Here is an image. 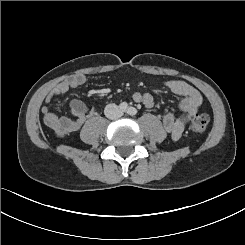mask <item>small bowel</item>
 <instances>
[{
    "mask_svg": "<svg viewBox=\"0 0 245 245\" xmlns=\"http://www.w3.org/2000/svg\"><path fill=\"white\" fill-rule=\"evenodd\" d=\"M86 82L83 75H75L60 82L46 96L45 104L42 107L44 123L53 130L58 137L78 131L87 118L95 116L94 108L89 109L81 100L74 99L69 102V109L74 115V119L68 117H58L49 107V104L56 97L65 95L70 90H75ZM164 86L172 93L182 96L183 99L178 106V114L166 113L162 123L165 131L171 135L173 140H178L192 116L202 105V96L197 89L181 80H168ZM133 100L143 104L147 108L154 106V98L149 93L135 92Z\"/></svg>",
    "mask_w": 245,
    "mask_h": 245,
    "instance_id": "obj_1",
    "label": "small bowel"
}]
</instances>
